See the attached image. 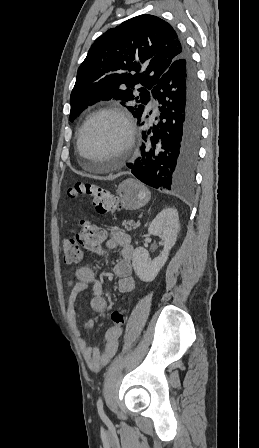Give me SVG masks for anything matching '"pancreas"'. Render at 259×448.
I'll use <instances>...</instances> for the list:
<instances>
[{"mask_svg":"<svg viewBox=\"0 0 259 448\" xmlns=\"http://www.w3.org/2000/svg\"><path fill=\"white\" fill-rule=\"evenodd\" d=\"M122 226H125V230H128V232H130V230H136V228H139L140 222H137V224H135L134 220H128V222L124 220Z\"/></svg>","mask_w":259,"mask_h":448,"instance_id":"obj_1","label":"pancreas"}]
</instances>
